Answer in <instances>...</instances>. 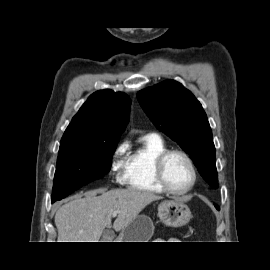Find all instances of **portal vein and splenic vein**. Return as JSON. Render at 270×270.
Segmentation results:
<instances>
[{
	"mask_svg": "<svg viewBox=\"0 0 270 270\" xmlns=\"http://www.w3.org/2000/svg\"><path fill=\"white\" fill-rule=\"evenodd\" d=\"M117 214H118V211H114L112 215L115 217L117 216Z\"/></svg>",
	"mask_w": 270,
	"mask_h": 270,
	"instance_id": "18ae733b",
	"label": "portal vein and splenic vein"
}]
</instances>
